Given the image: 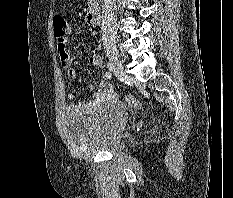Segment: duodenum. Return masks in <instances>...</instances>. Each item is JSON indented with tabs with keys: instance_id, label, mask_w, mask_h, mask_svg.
Here are the masks:
<instances>
[{
	"instance_id": "obj_1",
	"label": "duodenum",
	"mask_w": 233,
	"mask_h": 198,
	"mask_svg": "<svg viewBox=\"0 0 233 198\" xmlns=\"http://www.w3.org/2000/svg\"><path fill=\"white\" fill-rule=\"evenodd\" d=\"M86 20L90 25H97L101 20V13L98 7L92 6L86 14Z\"/></svg>"
}]
</instances>
